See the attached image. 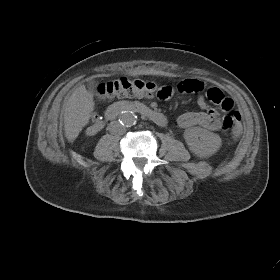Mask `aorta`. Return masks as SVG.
Wrapping results in <instances>:
<instances>
[{"label":"aorta","instance_id":"762f6f07","mask_svg":"<svg viewBox=\"0 0 280 280\" xmlns=\"http://www.w3.org/2000/svg\"><path fill=\"white\" fill-rule=\"evenodd\" d=\"M119 121L123 126H132L136 122V115L132 111H124L121 113Z\"/></svg>","mask_w":280,"mask_h":280}]
</instances>
